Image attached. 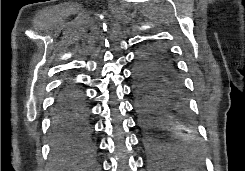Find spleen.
Masks as SVG:
<instances>
[{
    "label": "spleen",
    "instance_id": "1",
    "mask_svg": "<svg viewBox=\"0 0 245 171\" xmlns=\"http://www.w3.org/2000/svg\"><path fill=\"white\" fill-rule=\"evenodd\" d=\"M183 171H197V170L195 168L188 167V168H185Z\"/></svg>",
    "mask_w": 245,
    "mask_h": 171
}]
</instances>
